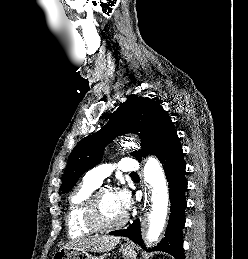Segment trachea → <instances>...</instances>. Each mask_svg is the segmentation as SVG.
Wrapping results in <instances>:
<instances>
[{
	"label": "trachea",
	"mask_w": 248,
	"mask_h": 259,
	"mask_svg": "<svg viewBox=\"0 0 248 259\" xmlns=\"http://www.w3.org/2000/svg\"><path fill=\"white\" fill-rule=\"evenodd\" d=\"M132 175H137V173H132Z\"/></svg>",
	"instance_id": "3493384b"
}]
</instances>
